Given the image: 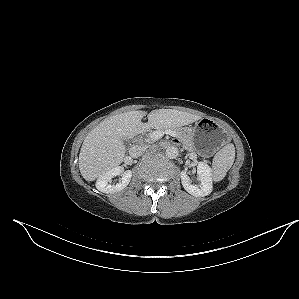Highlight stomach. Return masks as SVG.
Wrapping results in <instances>:
<instances>
[{
	"label": "stomach",
	"mask_w": 299,
	"mask_h": 299,
	"mask_svg": "<svg viewBox=\"0 0 299 299\" xmlns=\"http://www.w3.org/2000/svg\"><path fill=\"white\" fill-rule=\"evenodd\" d=\"M194 150L202 156H212L227 141L224 129L215 121L203 118L190 130Z\"/></svg>",
	"instance_id": "1"
}]
</instances>
